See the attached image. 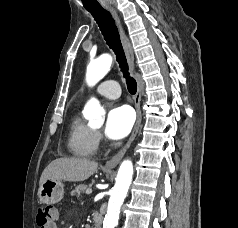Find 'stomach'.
Masks as SVG:
<instances>
[{
	"label": "stomach",
	"instance_id": "obj_1",
	"mask_svg": "<svg viewBox=\"0 0 238 228\" xmlns=\"http://www.w3.org/2000/svg\"><path fill=\"white\" fill-rule=\"evenodd\" d=\"M64 195V185L61 180H45L38 189V197L45 204L58 203Z\"/></svg>",
	"mask_w": 238,
	"mask_h": 228
}]
</instances>
